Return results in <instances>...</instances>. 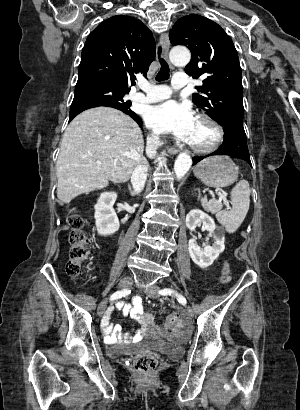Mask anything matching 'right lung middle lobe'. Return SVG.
<instances>
[{
  "instance_id": "dd1d6c3e",
  "label": "right lung middle lobe",
  "mask_w": 300,
  "mask_h": 410,
  "mask_svg": "<svg viewBox=\"0 0 300 410\" xmlns=\"http://www.w3.org/2000/svg\"><path fill=\"white\" fill-rule=\"evenodd\" d=\"M128 93L129 92L127 91L119 90L101 83H77L70 113L82 108L95 106H110L131 111L130 101L124 99V96Z\"/></svg>"
}]
</instances>
